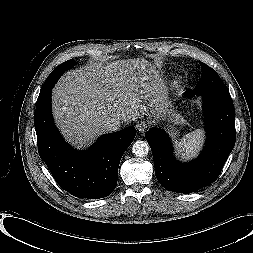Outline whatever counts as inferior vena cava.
Returning a JSON list of instances; mask_svg holds the SVG:
<instances>
[{
    "label": "inferior vena cava",
    "instance_id": "602c4592",
    "mask_svg": "<svg viewBox=\"0 0 253 253\" xmlns=\"http://www.w3.org/2000/svg\"><path fill=\"white\" fill-rule=\"evenodd\" d=\"M106 126L109 131H116L120 128V120L116 118L108 119L106 122Z\"/></svg>",
    "mask_w": 253,
    "mask_h": 253
}]
</instances>
